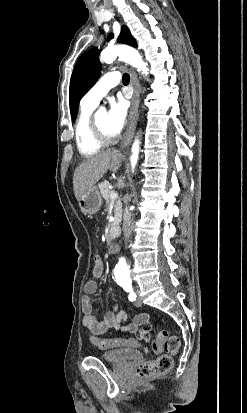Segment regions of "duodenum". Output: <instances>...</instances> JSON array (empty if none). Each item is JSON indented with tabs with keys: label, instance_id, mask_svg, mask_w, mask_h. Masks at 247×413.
Listing matches in <instances>:
<instances>
[{
	"label": "duodenum",
	"instance_id": "duodenum-1",
	"mask_svg": "<svg viewBox=\"0 0 247 413\" xmlns=\"http://www.w3.org/2000/svg\"><path fill=\"white\" fill-rule=\"evenodd\" d=\"M118 233V226L112 224L108 229V240L113 241Z\"/></svg>",
	"mask_w": 247,
	"mask_h": 413
}]
</instances>
